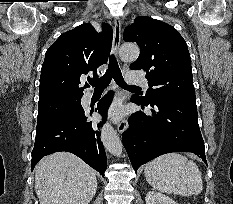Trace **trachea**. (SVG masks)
<instances>
[{"instance_id":"obj_1","label":"trachea","mask_w":233,"mask_h":204,"mask_svg":"<svg viewBox=\"0 0 233 204\" xmlns=\"http://www.w3.org/2000/svg\"><path fill=\"white\" fill-rule=\"evenodd\" d=\"M114 79V81L124 89H138L139 87L137 86H132V85H127L123 79L121 70L118 66L117 60L114 57V55L110 56L109 59V66L106 71V73L97 79H90L89 83L95 87V90H103L105 89L111 80Z\"/></svg>"}]
</instances>
